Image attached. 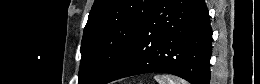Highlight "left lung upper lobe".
I'll return each instance as SVG.
<instances>
[{
	"instance_id": "obj_1",
	"label": "left lung upper lobe",
	"mask_w": 260,
	"mask_h": 84,
	"mask_svg": "<svg viewBox=\"0 0 260 84\" xmlns=\"http://www.w3.org/2000/svg\"><path fill=\"white\" fill-rule=\"evenodd\" d=\"M157 0H95L81 43L78 84H102Z\"/></svg>"
}]
</instances>
